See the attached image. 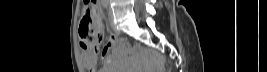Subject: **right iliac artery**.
Returning <instances> with one entry per match:
<instances>
[{"label":"right iliac artery","mask_w":267,"mask_h":72,"mask_svg":"<svg viewBox=\"0 0 267 72\" xmlns=\"http://www.w3.org/2000/svg\"><path fill=\"white\" fill-rule=\"evenodd\" d=\"M101 4L104 8H106L108 6V2L106 0H102Z\"/></svg>","instance_id":"82829eb1"}]
</instances>
